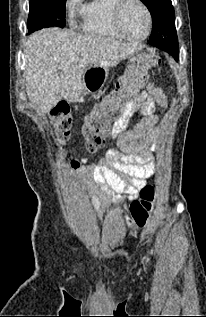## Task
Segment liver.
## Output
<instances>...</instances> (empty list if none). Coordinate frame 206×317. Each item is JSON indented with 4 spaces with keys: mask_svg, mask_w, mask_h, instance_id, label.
I'll list each match as a JSON object with an SVG mask.
<instances>
[{
    "mask_svg": "<svg viewBox=\"0 0 206 317\" xmlns=\"http://www.w3.org/2000/svg\"><path fill=\"white\" fill-rule=\"evenodd\" d=\"M141 49L143 45L95 34L59 28L37 31L24 49L27 96L42 113H48L62 99L78 102L87 90L83 75L88 68L116 66Z\"/></svg>",
    "mask_w": 206,
    "mask_h": 317,
    "instance_id": "6515ba94",
    "label": "liver"
}]
</instances>
